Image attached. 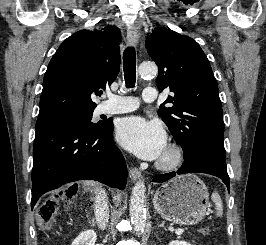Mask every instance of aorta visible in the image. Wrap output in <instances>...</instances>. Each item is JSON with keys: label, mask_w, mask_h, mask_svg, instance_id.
<instances>
[{"label": "aorta", "mask_w": 266, "mask_h": 245, "mask_svg": "<svg viewBox=\"0 0 266 245\" xmlns=\"http://www.w3.org/2000/svg\"><path fill=\"white\" fill-rule=\"evenodd\" d=\"M139 74L141 76H154L157 74L156 64H140ZM146 189L144 183L139 181L135 183L132 189L131 201H130V219L136 231L137 235H142L146 221V209H145Z\"/></svg>", "instance_id": "obj_1"}]
</instances>
